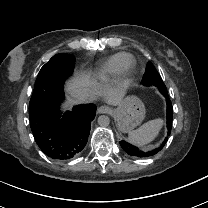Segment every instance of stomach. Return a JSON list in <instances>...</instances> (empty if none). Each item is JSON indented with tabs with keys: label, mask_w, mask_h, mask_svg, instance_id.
I'll use <instances>...</instances> for the list:
<instances>
[{
	"label": "stomach",
	"mask_w": 208,
	"mask_h": 208,
	"mask_svg": "<svg viewBox=\"0 0 208 208\" xmlns=\"http://www.w3.org/2000/svg\"><path fill=\"white\" fill-rule=\"evenodd\" d=\"M143 102L136 96H128L122 100L117 109L112 110L119 129L129 132L138 126L145 118Z\"/></svg>",
	"instance_id": "obj_1"
}]
</instances>
